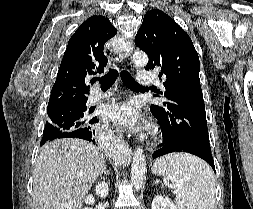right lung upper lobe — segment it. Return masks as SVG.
<instances>
[{"instance_id":"1","label":"right lung upper lobe","mask_w":253,"mask_h":209,"mask_svg":"<svg viewBox=\"0 0 253 209\" xmlns=\"http://www.w3.org/2000/svg\"><path fill=\"white\" fill-rule=\"evenodd\" d=\"M116 33V28L104 16H92L80 25L68 42L47 111L87 102V82L90 77L103 73L108 62L103 53L104 44Z\"/></svg>"}]
</instances>
